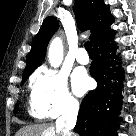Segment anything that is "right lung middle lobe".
Masks as SVG:
<instances>
[{
  "label": "right lung middle lobe",
  "instance_id": "dd1d6c3e",
  "mask_svg": "<svg viewBox=\"0 0 136 136\" xmlns=\"http://www.w3.org/2000/svg\"><path fill=\"white\" fill-rule=\"evenodd\" d=\"M28 77H29V75L26 76V77H24V78L22 79V83H24V82L27 80ZM17 110H18V106L16 105V107H15V109H14V112H16Z\"/></svg>",
  "mask_w": 136,
  "mask_h": 136
}]
</instances>
